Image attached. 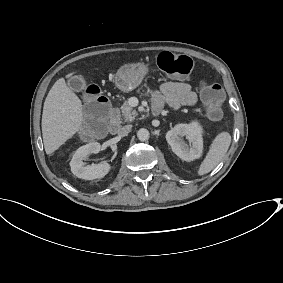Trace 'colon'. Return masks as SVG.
<instances>
[{
  "label": "colon",
  "mask_w": 283,
  "mask_h": 283,
  "mask_svg": "<svg viewBox=\"0 0 283 283\" xmlns=\"http://www.w3.org/2000/svg\"><path fill=\"white\" fill-rule=\"evenodd\" d=\"M157 65L169 75L185 77L195 68V61L186 55L163 52L157 58ZM200 97L208 116L214 120L219 119L222 115V104L225 98L222 86L216 82L202 81ZM83 100L86 111V120L82 125L83 134L91 136L101 133L110 111L108 99L98 86L89 85L85 90Z\"/></svg>",
  "instance_id": "5ec220e1"
}]
</instances>
